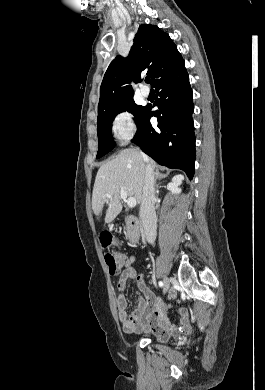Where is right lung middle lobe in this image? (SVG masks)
Masks as SVG:
<instances>
[{
	"mask_svg": "<svg viewBox=\"0 0 265 390\" xmlns=\"http://www.w3.org/2000/svg\"><path fill=\"white\" fill-rule=\"evenodd\" d=\"M147 106H138L133 99L125 101L113 108H110L98 115L97 134H98V153L96 158H100L114 148L112 141V122L115 116L124 111H128L135 116L136 124L138 125L145 115Z\"/></svg>",
	"mask_w": 265,
	"mask_h": 390,
	"instance_id": "right-lung-middle-lobe-1",
	"label": "right lung middle lobe"
}]
</instances>
